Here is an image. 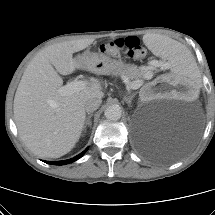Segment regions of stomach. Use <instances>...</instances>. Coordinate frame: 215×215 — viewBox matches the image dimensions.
Wrapping results in <instances>:
<instances>
[{
	"instance_id": "stomach-1",
	"label": "stomach",
	"mask_w": 215,
	"mask_h": 215,
	"mask_svg": "<svg viewBox=\"0 0 215 215\" xmlns=\"http://www.w3.org/2000/svg\"><path fill=\"white\" fill-rule=\"evenodd\" d=\"M77 59L84 69L100 75L115 74L125 67L121 60L112 59L103 53L85 51L83 54L78 55Z\"/></svg>"
}]
</instances>
